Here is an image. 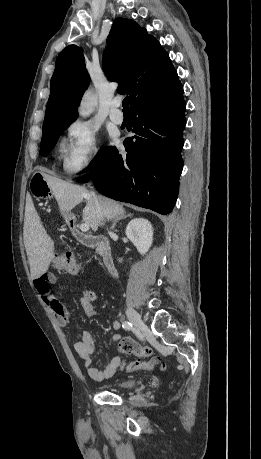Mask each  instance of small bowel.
Masks as SVG:
<instances>
[{
    "label": "small bowel",
    "mask_w": 261,
    "mask_h": 459,
    "mask_svg": "<svg viewBox=\"0 0 261 459\" xmlns=\"http://www.w3.org/2000/svg\"><path fill=\"white\" fill-rule=\"evenodd\" d=\"M56 282L57 277L53 273H44L34 279V286L59 325L65 327L71 322L73 316L63 308L57 296L53 292L52 285ZM90 292L92 291L88 289L82 290L81 306L86 315L93 316L95 315L94 306L85 298L86 294ZM112 327L115 331H118L121 328V323L114 320L112 322ZM111 339L112 341H118L121 339V334L115 332L112 334ZM73 347L79 358L82 360L88 376L96 382H101L112 377L122 362L120 355L117 354L110 360L104 369L100 370L93 367V356L96 352L95 341L91 333L85 330L79 333L78 339L74 342Z\"/></svg>",
    "instance_id": "obj_1"
}]
</instances>
